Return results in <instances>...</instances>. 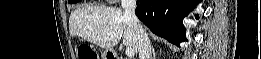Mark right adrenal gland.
Instances as JSON below:
<instances>
[{
  "label": "right adrenal gland",
  "instance_id": "1",
  "mask_svg": "<svg viewBox=\"0 0 261 59\" xmlns=\"http://www.w3.org/2000/svg\"><path fill=\"white\" fill-rule=\"evenodd\" d=\"M155 56H156V54H155V51L153 49V59H155Z\"/></svg>",
  "mask_w": 261,
  "mask_h": 59
}]
</instances>
